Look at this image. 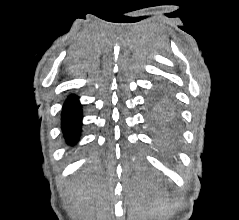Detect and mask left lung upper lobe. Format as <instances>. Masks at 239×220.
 <instances>
[{
	"label": "left lung upper lobe",
	"instance_id": "1",
	"mask_svg": "<svg viewBox=\"0 0 239 220\" xmlns=\"http://www.w3.org/2000/svg\"><path fill=\"white\" fill-rule=\"evenodd\" d=\"M160 92L155 94L150 102L151 104V122L157 126L162 127L174 113L173 100L164 89H160Z\"/></svg>",
	"mask_w": 239,
	"mask_h": 220
}]
</instances>
